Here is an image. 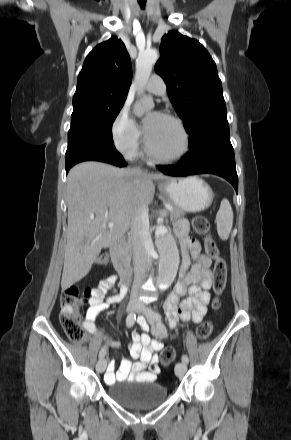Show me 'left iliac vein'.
<instances>
[{"instance_id":"obj_1","label":"left iliac vein","mask_w":291,"mask_h":440,"mask_svg":"<svg viewBox=\"0 0 291 440\" xmlns=\"http://www.w3.org/2000/svg\"><path fill=\"white\" fill-rule=\"evenodd\" d=\"M138 312L146 317L147 321L152 326L153 333H155L157 336H163V334H161L155 328V326L158 325L161 321V315L159 313L153 311L152 309H150L145 305H140ZM185 372H186V364L183 362L177 363L175 367V374L178 377H182L185 374Z\"/></svg>"}]
</instances>
